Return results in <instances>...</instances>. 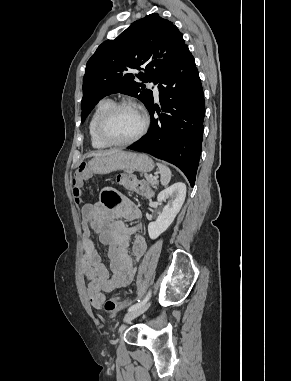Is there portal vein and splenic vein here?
Returning <instances> with one entry per match:
<instances>
[{"label": "portal vein and splenic vein", "instance_id": "obj_1", "mask_svg": "<svg viewBox=\"0 0 291 381\" xmlns=\"http://www.w3.org/2000/svg\"><path fill=\"white\" fill-rule=\"evenodd\" d=\"M149 177L156 179V177H153V175H152V174H150V175H149Z\"/></svg>", "mask_w": 291, "mask_h": 381}]
</instances>
